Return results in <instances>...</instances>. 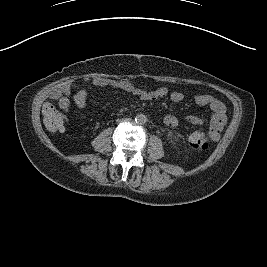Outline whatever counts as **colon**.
I'll return each mask as SVG.
<instances>
[{"instance_id":"colon-1","label":"colon","mask_w":267,"mask_h":267,"mask_svg":"<svg viewBox=\"0 0 267 267\" xmlns=\"http://www.w3.org/2000/svg\"><path fill=\"white\" fill-rule=\"evenodd\" d=\"M43 121L46 128L52 132L61 131L65 126L64 115L51 103H46L42 107ZM190 144L197 150L209 148L210 140L203 132L192 134Z\"/></svg>"}]
</instances>
